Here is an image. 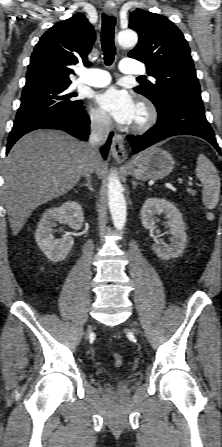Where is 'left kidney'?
<instances>
[{"instance_id":"left-kidney-1","label":"left kidney","mask_w":222,"mask_h":447,"mask_svg":"<svg viewBox=\"0 0 222 447\" xmlns=\"http://www.w3.org/2000/svg\"><path fill=\"white\" fill-rule=\"evenodd\" d=\"M161 213H164L168 219L169 233L172 237L169 239L170 244L164 242L163 239H158L152 245V249L160 259L169 260L183 253L187 243V235L182 214L173 203L161 198H148L143 204L140 215L144 228L155 230L157 227L155 226L154 216ZM155 232L160 233L159 230H155Z\"/></svg>"}]
</instances>
